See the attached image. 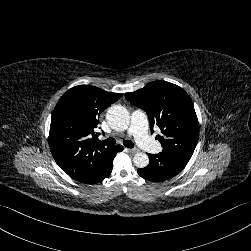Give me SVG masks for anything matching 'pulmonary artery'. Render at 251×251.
I'll return each mask as SVG.
<instances>
[{"label":"pulmonary artery","mask_w":251,"mask_h":251,"mask_svg":"<svg viewBox=\"0 0 251 251\" xmlns=\"http://www.w3.org/2000/svg\"><path fill=\"white\" fill-rule=\"evenodd\" d=\"M134 134L136 136L139 147L143 151L155 153L159 149V144L155 140H151L150 134L147 129V118L143 114H137L133 118ZM114 135V134H113ZM124 135L130 136V132Z\"/></svg>","instance_id":"1"}]
</instances>
